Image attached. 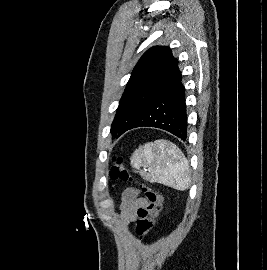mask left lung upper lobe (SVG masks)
Wrapping results in <instances>:
<instances>
[{
    "instance_id": "obj_1",
    "label": "left lung upper lobe",
    "mask_w": 267,
    "mask_h": 270,
    "mask_svg": "<svg viewBox=\"0 0 267 270\" xmlns=\"http://www.w3.org/2000/svg\"><path fill=\"white\" fill-rule=\"evenodd\" d=\"M177 65L166 46L152 47L143 54L119 102L110 130L113 135L120 136L131 127L164 89Z\"/></svg>"
}]
</instances>
